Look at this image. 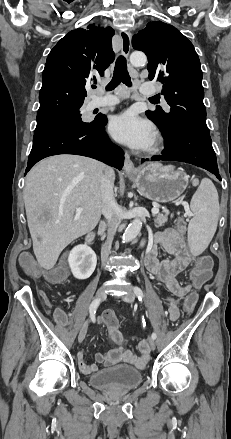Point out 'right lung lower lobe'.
Wrapping results in <instances>:
<instances>
[{
    "label": "right lung lower lobe",
    "mask_w": 231,
    "mask_h": 439,
    "mask_svg": "<svg viewBox=\"0 0 231 439\" xmlns=\"http://www.w3.org/2000/svg\"><path fill=\"white\" fill-rule=\"evenodd\" d=\"M106 124V117L101 116L87 128L59 126L35 133L26 173L41 159L57 154L87 156L121 169L124 152L109 140Z\"/></svg>",
    "instance_id": "98d812e1"
}]
</instances>
